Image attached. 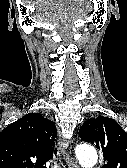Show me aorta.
I'll return each instance as SVG.
<instances>
[{
	"instance_id": "762f6f07",
	"label": "aorta",
	"mask_w": 127,
	"mask_h": 168,
	"mask_svg": "<svg viewBox=\"0 0 127 168\" xmlns=\"http://www.w3.org/2000/svg\"><path fill=\"white\" fill-rule=\"evenodd\" d=\"M79 164L84 168H92L98 160L95 148L89 144H80L75 150Z\"/></svg>"
}]
</instances>
